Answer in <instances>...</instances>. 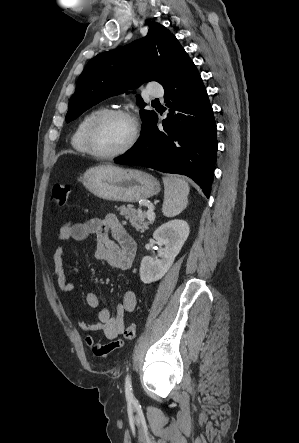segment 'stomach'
Returning <instances> with one entry per match:
<instances>
[{"instance_id": "1", "label": "stomach", "mask_w": 299, "mask_h": 443, "mask_svg": "<svg viewBox=\"0 0 299 443\" xmlns=\"http://www.w3.org/2000/svg\"><path fill=\"white\" fill-rule=\"evenodd\" d=\"M83 184L97 197L110 201L137 202L160 191L159 182L150 174L113 165L88 169Z\"/></svg>"}]
</instances>
